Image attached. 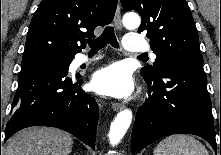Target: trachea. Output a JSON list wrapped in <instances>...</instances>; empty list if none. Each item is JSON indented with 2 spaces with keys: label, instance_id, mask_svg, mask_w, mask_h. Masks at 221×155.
<instances>
[{
  "label": "trachea",
  "instance_id": "trachea-1",
  "mask_svg": "<svg viewBox=\"0 0 221 155\" xmlns=\"http://www.w3.org/2000/svg\"><path fill=\"white\" fill-rule=\"evenodd\" d=\"M88 45L91 48V52L96 53L100 49L104 48L107 44L112 45L115 48L119 47V44L117 42L114 28L112 26H108L104 29L101 36H99L96 39H88L87 40ZM139 57L145 58L146 55H140Z\"/></svg>",
  "mask_w": 221,
  "mask_h": 155
}]
</instances>
